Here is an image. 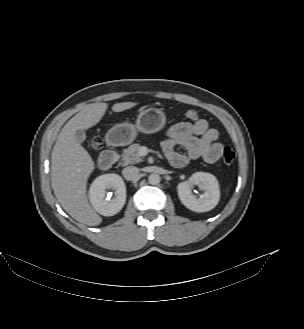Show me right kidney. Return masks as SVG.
<instances>
[{"label":"right kidney","mask_w":304,"mask_h":329,"mask_svg":"<svg viewBox=\"0 0 304 329\" xmlns=\"http://www.w3.org/2000/svg\"><path fill=\"white\" fill-rule=\"evenodd\" d=\"M114 190V198H106L107 190ZM89 199L96 212L103 216L117 214L126 202V187L118 174H104L97 177L91 184Z\"/></svg>","instance_id":"ca27d5eb"}]
</instances>
